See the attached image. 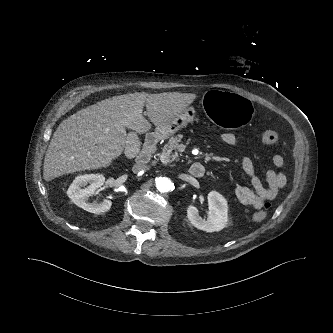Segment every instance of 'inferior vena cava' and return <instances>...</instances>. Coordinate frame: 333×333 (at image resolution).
I'll list each match as a JSON object with an SVG mask.
<instances>
[{"label":"inferior vena cava","mask_w":333,"mask_h":333,"mask_svg":"<svg viewBox=\"0 0 333 333\" xmlns=\"http://www.w3.org/2000/svg\"><path fill=\"white\" fill-rule=\"evenodd\" d=\"M145 170H148V166L146 164H142V163H137L132 168V171L134 173H138V172L145 171Z\"/></svg>","instance_id":"inferior-vena-cava-1"}]
</instances>
